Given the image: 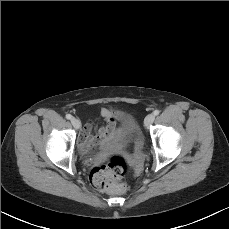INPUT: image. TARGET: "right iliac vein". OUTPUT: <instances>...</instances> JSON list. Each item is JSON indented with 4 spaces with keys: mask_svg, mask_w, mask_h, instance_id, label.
<instances>
[{
    "mask_svg": "<svg viewBox=\"0 0 229 229\" xmlns=\"http://www.w3.org/2000/svg\"><path fill=\"white\" fill-rule=\"evenodd\" d=\"M71 123L74 126V128H76V129H79L81 126V123L77 118H72Z\"/></svg>",
    "mask_w": 229,
    "mask_h": 229,
    "instance_id": "1",
    "label": "right iliac vein"
}]
</instances>
